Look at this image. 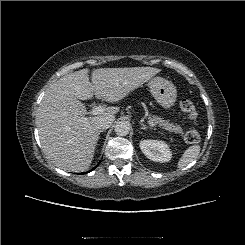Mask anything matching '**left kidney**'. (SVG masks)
Wrapping results in <instances>:
<instances>
[{
    "label": "left kidney",
    "instance_id": "1",
    "mask_svg": "<svg viewBox=\"0 0 245 245\" xmlns=\"http://www.w3.org/2000/svg\"><path fill=\"white\" fill-rule=\"evenodd\" d=\"M140 149L148 159L155 162H168L172 157L169 146L163 141L142 140L140 142Z\"/></svg>",
    "mask_w": 245,
    "mask_h": 245
}]
</instances>
